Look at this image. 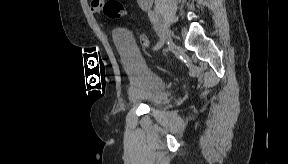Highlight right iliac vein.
Listing matches in <instances>:
<instances>
[{"label": "right iliac vein", "mask_w": 288, "mask_h": 164, "mask_svg": "<svg viewBox=\"0 0 288 164\" xmlns=\"http://www.w3.org/2000/svg\"><path fill=\"white\" fill-rule=\"evenodd\" d=\"M158 19V22L160 24V28H161V32H162V39H163V44L165 43H169L172 38H171V32L169 31V29L161 23V21Z\"/></svg>", "instance_id": "1"}]
</instances>
